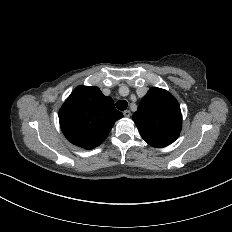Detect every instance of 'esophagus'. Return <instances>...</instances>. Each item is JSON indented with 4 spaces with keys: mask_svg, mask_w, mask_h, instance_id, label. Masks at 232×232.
<instances>
[{
    "mask_svg": "<svg viewBox=\"0 0 232 232\" xmlns=\"http://www.w3.org/2000/svg\"><path fill=\"white\" fill-rule=\"evenodd\" d=\"M123 115L125 116V117H130V115H131V111L130 110H125L124 112H123Z\"/></svg>",
    "mask_w": 232,
    "mask_h": 232,
    "instance_id": "obj_1",
    "label": "esophagus"
}]
</instances>
